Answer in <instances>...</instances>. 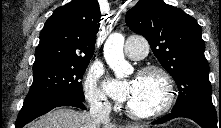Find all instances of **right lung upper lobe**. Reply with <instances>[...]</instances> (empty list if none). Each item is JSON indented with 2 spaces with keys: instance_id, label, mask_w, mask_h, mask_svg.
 Segmentation results:
<instances>
[{
  "instance_id": "right-lung-upper-lobe-1",
  "label": "right lung upper lobe",
  "mask_w": 221,
  "mask_h": 128,
  "mask_svg": "<svg viewBox=\"0 0 221 128\" xmlns=\"http://www.w3.org/2000/svg\"><path fill=\"white\" fill-rule=\"evenodd\" d=\"M101 17L96 0H72L57 8L40 33L33 71L91 59Z\"/></svg>"
}]
</instances>
